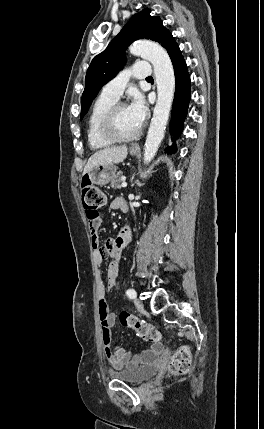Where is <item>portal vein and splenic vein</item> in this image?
I'll list each match as a JSON object with an SVG mask.
<instances>
[{
    "label": "portal vein and splenic vein",
    "mask_w": 264,
    "mask_h": 429,
    "mask_svg": "<svg viewBox=\"0 0 264 429\" xmlns=\"http://www.w3.org/2000/svg\"><path fill=\"white\" fill-rule=\"evenodd\" d=\"M121 186L124 188L127 186V183L125 182V180H123V182L121 183Z\"/></svg>",
    "instance_id": "obj_1"
}]
</instances>
